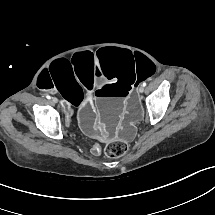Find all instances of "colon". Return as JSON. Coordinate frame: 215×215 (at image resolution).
Masks as SVG:
<instances>
[{
  "label": "colon",
  "mask_w": 215,
  "mask_h": 215,
  "mask_svg": "<svg viewBox=\"0 0 215 215\" xmlns=\"http://www.w3.org/2000/svg\"><path fill=\"white\" fill-rule=\"evenodd\" d=\"M127 144L122 141H115L107 144L104 153L109 158L119 157L126 153Z\"/></svg>",
  "instance_id": "5ec220e1"
}]
</instances>
